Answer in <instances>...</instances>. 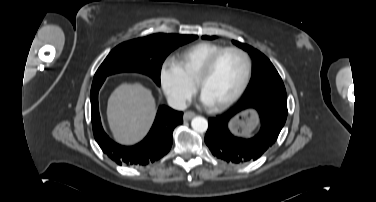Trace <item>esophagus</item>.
Returning <instances> with one entry per match:
<instances>
[{"mask_svg": "<svg viewBox=\"0 0 376 202\" xmlns=\"http://www.w3.org/2000/svg\"><path fill=\"white\" fill-rule=\"evenodd\" d=\"M194 116H195V113H194V112H192V111H187V112L184 113V115H183V119H184V120H190V119H192Z\"/></svg>", "mask_w": 376, "mask_h": 202, "instance_id": "1", "label": "esophagus"}]
</instances>
